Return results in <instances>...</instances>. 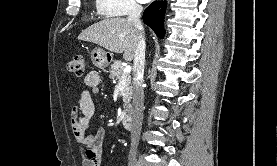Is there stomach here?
I'll use <instances>...</instances> for the list:
<instances>
[{"label":"stomach","instance_id":"0dacf381","mask_svg":"<svg viewBox=\"0 0 277 166\" xmlns=\"http://www.w3.org/2000/svg\"><path fill=\"white\" fill-rule=\"evenodd\" d=\"M91 61L94 66L104 69L111 63L112 54L97 47L91 52Z\"/></svg>","mask_w":277,"mask_h":166}]
</instances>
